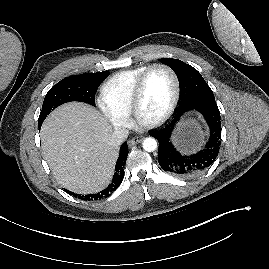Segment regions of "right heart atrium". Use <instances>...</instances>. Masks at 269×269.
Here are the masks:
<instances>
[{
    "instance_id": "d8ad5b80",
    "label": "right heart atrium",
    "mask_w": 269,
    "mask_h": 269,
    "mask_svg": "<svg viewBox=\"0 0 269 269\" xmlns=\"http://www.w3.org/2000/svg\"><path fill=\"white\" fill-rule=\"evenodd\" d=\"M99 108L109 122L117 128L127 127L129 124L128 116L115 112L108 108L102 101L99 102Z\"/></svg>"
}]
</instances>
